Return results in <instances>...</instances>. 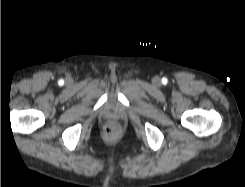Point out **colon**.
<instances>
[{"instance_id": "obj_1", "label": "colon", "mask_w": 245, "mask_h": 187, "mask_svg": "<svg viewBox=\"0 0 245 187\" xmlns=\"http://www.w3.org/2000/svg\"><path fill=\"white\" fill-rule=\"evenodd\" d=\"M118 130H119V128L117 125L111 124L107 127L106 132H107L108 136H113L118 132Z\"/></svg>"}]
</instances>
